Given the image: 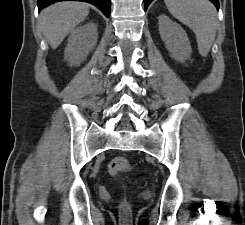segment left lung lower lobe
<instances>
[{
	"label": "left lung lower lobe",
	"instance_id": "obj_1",
	"mask_svg": "<svg viewBox=\"0 0 245 225\" xmlns=\"http://www.w3.org/2000/svg\"><path fill=\"white\" fill-rule=\"evenodd\" d=\"M153 0H144V4H145V10L148 8L149 4L152 2ZM218 9L219 8V0H210Z\"/></svg>",
	"mask_w": 245,
	"mask_h": 225
}]
</instances>
